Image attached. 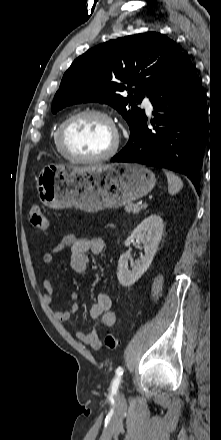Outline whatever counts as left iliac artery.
I'll use <instances>...</instances> for the list:
<instances>
[{
  "instance_id": "left-iliac-artery-1",
  "label": "left iliac artery",
  "mask_w": 221,
  "mask_h": 440,
  "mask_svg": "<svg viewBox=\"0 0 221 440\" xmlns=\"http://www.w3.org/2000/svg\"><path fill=\"white\" fill-rule=\"evenodd\" d=\"M123 372H124V370H123V368L121 366H119L116 369V377L114 378V380L112 382V385H111L112 393H116L117 392V389H118L121 377L123 375Z\"/></svg>"
}]
</instances>
